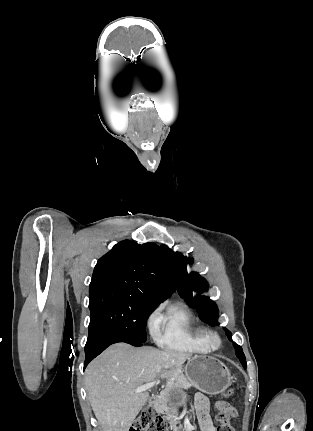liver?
<instances>
[{
	"instance_id": "1",
	"label": "liver",
	"mask_w": 313,
	"mask_h": 431,
	"mask_svg": "<svg viewBox=\"0 0 313 431\" xmlns=\"http://www.w3.org/2000/svg\"><path fill=\"white\" fill-rule=\"evenodd\" d=\"M191 354L116 343L94 359L85 372L92 410L102 431H129L149 398L135 390L156 378L172 380Z\"/></svg>"
}]
</instances>
